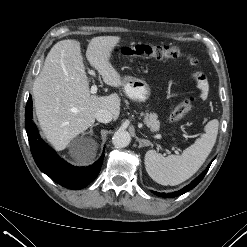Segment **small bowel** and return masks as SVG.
<instances>
[{
	"label": "small bowel",
	"instance_id": "obj_1",
	"mask_svg": "<svg viewBox=\"0 0 247 247\" xmlns=\"http://www.w3.org/2000/svg\"><path fill=\"white\" fill-rule=\"evenodd\" d=\"M195 79L197 82V88L199 90V96L202 100H204L208 96V83L202 74H196Z\"/></svg>",
	"mask_w": 247,
	"mask_h": 247
}]
</instances>
